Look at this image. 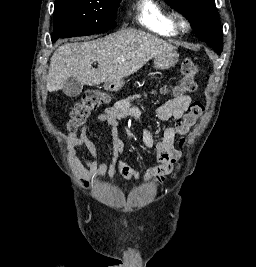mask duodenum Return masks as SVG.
<instances>
[{
  "mask_svg": "<svg viewBox=\"0 0 256 267\" xmlns=\"http://www.w3.org/2000/svg\"><path fill=\"white\" fill-rule=\"evenodd\" d=\"M126 77H119V78H107L106 83H103V88L105 90H118V88H122V86H126Z\"/></svg>",
  "mask_w": 256,
  "mask_h": 267,
  "instance_id": "410a0bca",
  "label": "duodenum"
}]
</instances>
